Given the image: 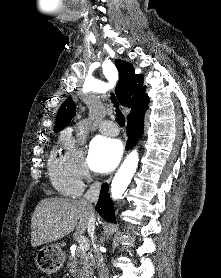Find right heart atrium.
I'll list each match as a JSON object with an SVG mask.
<instances>
[{
    "mask_svg": "<svg viewBox=\"0 0 221 278\" xmlns=\"http://www.w3.org/2000/svg\"><path fill=\"white\" fill-rule=\"evenodd\" d=\"M65 158L75 175L80 181H88L92 177V171L86 154L80 144L71 134L63 138Z\"/></svg>",
    "mask_w": 221,
    "mask_h": 278,
    "instance_id": "1",
    "label": "right heart atrium"
}]
</instances>
